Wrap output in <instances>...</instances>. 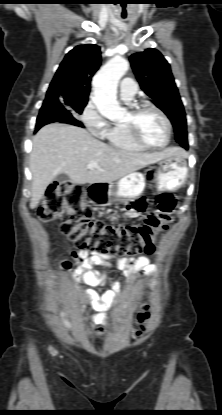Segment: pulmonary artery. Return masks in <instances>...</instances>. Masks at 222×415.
Wrapping results in <instances>:
<instances>
[{
    "mask_svg": "<svg viewBox=\"0 0 222 415\" xmlns=\"http://www.w3.org/2000/svg\"><path fill=\"white\" fill-rule=\"evenodd\" d=\"M120 92L124 100L130 101L133 99L137 92V85L135 81L130 78H124L120 82Z\"/></svg>",
    "mask_w": 222,
    "mask_h": 415,
    "instance_id": "pulmonary-artery-1",
    "label": "pulmonary artery"
}]
</instances>
